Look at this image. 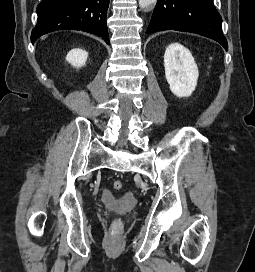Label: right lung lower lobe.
Returning <instances> with one entry per match:
<instances>
[{
  "label": "right lung lower lobe",
  "instance_id": "obj_1",
  "mask_svg": "<svg viewBox=\"0 0 255 272\" xmlns=\"http://www.w3.org/2000/svg\"><path fill=\"white\" fill-rule=\"evenodd\" d=\"M108 6L109 0H42L37 6L38 21L31 42L56 30H81L101 36L109 44Z\"/></svg>",
  "mask_w": 255,
  "mask_h": 272
}]
</instances>
